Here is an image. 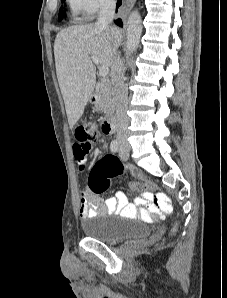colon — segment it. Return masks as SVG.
Listing matches in <instances>:
<instances>
[{"label":"colon","instance_id":"obj_1","mask_svg":"<svg viewBox=\"0 0 227 298\" xmlns=\"http://www.w3.org/2000/svg\"><path fill=\"white\" fill-rule=\"evenodd\" d=\"M99 129L95 122L88 121L75 129V139H80L81 142H94L99 137ZM74 152V151H73ZM122 164L113 156H105L95 163L89 175V189L96 194L105 193L111 184V179L122 174ZM130 188L137 191H147L154 189L152 183L132 182ZM153 204L156 209L165 213V208L169 205L168 198L164 194H155ZM176 228L172 229L175 232Z\"/></svg>","mask_w":227,"mask_h":298}]
</instances>
